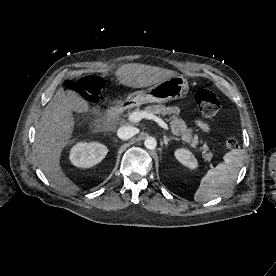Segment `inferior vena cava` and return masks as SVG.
Masks as SVG:
<instances>
[{
  "label": "inferior vena cava",
  "mask_w": 276,
  "mask_h": 276,
  "mask_svg": "<svg viewBox=\"0 0 276 276\" xmlns=\"http://www.w3.org/2000/svg\"><path fill=\"white\" fill-rule=\"evenodd\" d=\"M137 133V129L131 126H121L117 131V136L122 140H128Z\"/></svg>",
  "instance_id": "602c4592"
}]
</instances>
